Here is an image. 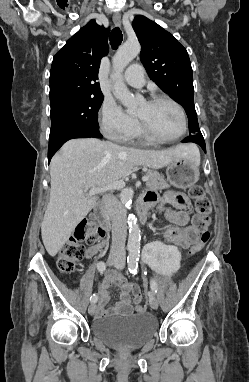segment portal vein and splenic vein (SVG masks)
Here are the masks:
<instances>
[{
  "label": "portal vein and splenic vein",
  "instance_id": "1",
  "mask_svg": "<svg viewBox=\"0 0 249 382\" xmlns=\"http://www.w3.org/2000/svg\"><path fill=\"white\" fill-rule=\"evenodd\" d=\"M148 180H149V177H147V176L142 177V181L146 182ZM123 187H125L124 181H122V180L114 181L110 185H108L107 187L90 189L89 192L87 193V195L91 197V196H94L98 193H103V192H106L108 190H113V189H122Z\"/></svg>",
  "mask_w": 249,
  "mask_h": 382
}]
</instances>
